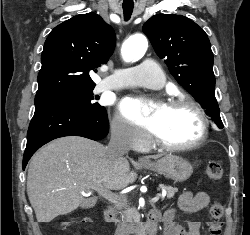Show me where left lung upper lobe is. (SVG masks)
I'll return each instance as SVG.
<instances>
[{
  "instance_id": "obj_1",
  "label": "left lung upper lobe",
  "mask_w": 250,
  "mask_h": 235,
  "mask_svg": "<svg viewBox=\"0 0 250 235\" xmlns=\"http://www.w3.org/2000/svg\"><path fill=\"white\" fill-rule=\"evenodd\" d=\"M142 30L177 82L223 128L214 92L213 53L205 31L191 19L176 14L154 15Z\"/></svg>"
}]
</instances>
